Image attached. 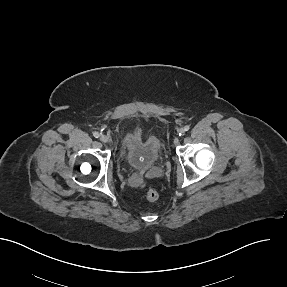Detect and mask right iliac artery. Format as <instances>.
<instances>
[{
	"label": "right iliac artery",
	"mask_w": 287,
	"mask_h": 287,
	"mask_svg": "<svg viewBox=\"0 0 287 287\" xmlns=\"http://www.w3.org/2000/svg\"><path fill=\"white\" fill-rule=\"evenodd\" d=\"M93 136H94L95 138H98V137L100 136V134L95 131V132L93 133Z\"/></svg>",
	"instance_id": "obj_1"
}]
</instances>
